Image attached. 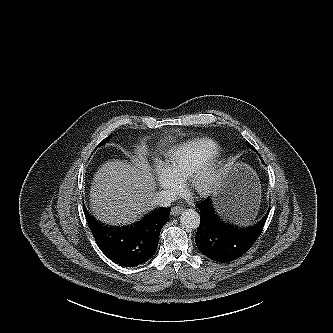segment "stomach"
<instances>
[{"instance_id": "stomach-1", "label": "stomach", "mask_w": 333, "mask_h": 333, "mask_svg": "<svg viewBox=\"0 0 333 333\" xmlns=\"http://www.w3.org/2000/svg\"><path fill=\"white\" fill-rule=\"evenodd\" d=\"M216 217L222 227L241 231L254 224L261 196L254 170L241 162H230L215 192Z\"/></svg>"}]
</instances>
